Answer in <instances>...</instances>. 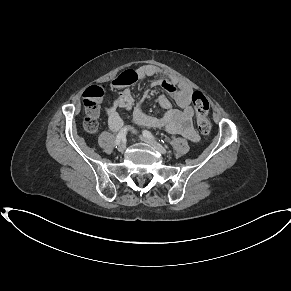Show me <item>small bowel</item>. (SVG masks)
<instances>
[{"label":"small bowel","instance_id":"c3829d8e","mask_svg":"<svg viewBox=\"0 0 291 291\" xmlns=\"http://www.w3.org/2000/svg\"><path fill=\"white\" fill-rule=\"evenodd\" d=\"M136 76L139 79L150 76H158L152 84L162 87L168 95L176 101L179 109H173L169 98L161 95L157 98V104L163 111L160 117H154L142 109L132 111L133 95L129 88H125L105 107L108 127L112 132L120 130L124 125V119L117 111L118 108L132 111V119L139 125L149 128H164L171 134H180L192 142L199 140V136L192 125L194 110L192 107V87L163 72L159 67L146 64L137 69ZM133 131V129H130Z\"/></svg>","mask_w":291,"mask_h":291}]
</instances>
